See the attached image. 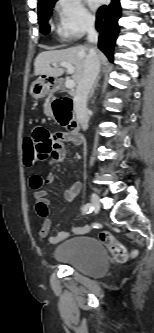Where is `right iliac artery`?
Instances as JSON below:
<instances>
[{"label":"right iliac artery","instance_id":"1","mask_svg":"<svg viewBox=\"0 0 154 333\" xmlns=\"http://www.w3.org/2000/svg\"><path fill=\"white\" fill-rule=\"evenodd\" d=\"M93 206L91 205V203H87L83 206L82 210L85 214H89L93 211Z\"/></svg>","mask_w":154,"mask_h":333}]
</instances>
